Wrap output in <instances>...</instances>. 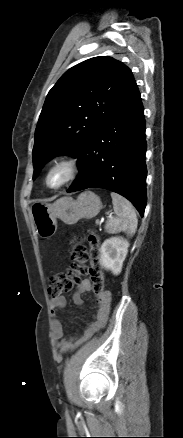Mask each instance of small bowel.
<instances>
[{
	"label": "small bowel",
	"mask_w": 183,
	"mask_h": 438,
	"mask_svg": "<svg viewBox=\"0 0 183 438\" xmlns=\"http://www.w3.org/2000/svg\"><path fill=\"white\" fill-rule=\"evenodd\" d=\"M92 290V284L89 279H83L77 285L75 292L73 293L72 300L75 305H82V295ZM96 313L93 317V321L89 323L83 330L82 334L75 338L60 340L65 335V329L61 321L55 316L56 312L66 307V299L63 296L50 299V309L53 315L51 320V328L53 331L54 339L57 341L58 346L62 351L66 352L74 348V346L90 338L94 333L100 330L106 324L111 307V293L104 291L102 294L96 296Z\"/></svg>",
	"instance_id": "c3829d8e"
}]
</instances>
